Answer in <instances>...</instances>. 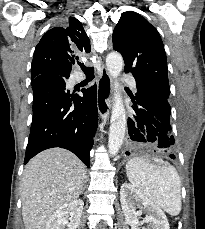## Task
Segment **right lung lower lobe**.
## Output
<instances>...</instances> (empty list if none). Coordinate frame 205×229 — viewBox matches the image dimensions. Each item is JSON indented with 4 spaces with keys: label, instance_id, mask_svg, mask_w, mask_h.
<instances>
[{
    "label": "right lung lower lobe",
    "instance_id": "1",
    "mask_svg": "<svg viewBox=\"0 0 205 229\" xmlns=\"http://www.w3.org/2000/svg\"><path fill=\"white\" fill-rule=\"evenodd\" d=\"M66 79L50 71L31 81L33 120L24 164L45 149L61 147L90 166L89 152L97 129L96 85L82 89L83 97H71Z\"/></svg>",
    "mask_w": 205,
    "mask_h": 229
}]
</instances>
